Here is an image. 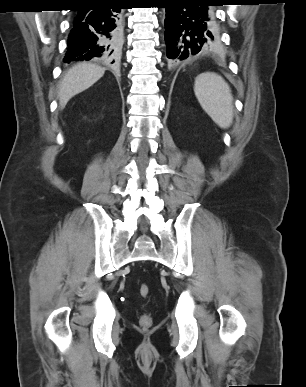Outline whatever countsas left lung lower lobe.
I'll return each instance as SVG.
<instances>
[{"label": "left lung lower lobe", "instance_id": "1", "mask_svg": "<svg viewBox=\"0 0 306 387\" xmlns=\"http://www.w3.org/2000/svg\"><path fill=\"white\" fill-rule=\"evenodd\" d=\"M166 8L165 43L173 67L206 52L213 42L216 0H163Z\"/></svg>", "mask_w": 306, "mask_h": 387}]
</instances>
